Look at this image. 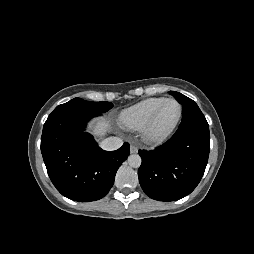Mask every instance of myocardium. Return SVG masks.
I'll return each instance as SVG.
<instances>
[{
  "instance_id": "myocardium-1",
  "label": "myocardium",
  "mask_w": 254,
  "mask_h": 254,
  "mask_svg": "<svg viewBox=\"0 0 254 254\" xmlns=\"http://www.w3.org/2000/svg\"><path fill=\"white\" fill-rule=\"evenodd\" d=\"M167 102H175L178 107H179V112L177 115V118L175 120V122L173 123V125L166 130L165 132L161 133V134H154L153 133V126L154 123L158 117V114L162 108V106L167 103ZM182 105L181 103L175 99V98H165L153 111V113L150 115V117L148 118V120L145 122V124L143 125V127L141 128V134L142 137L144 139L145 142H147L148 144H161L163 143L165 140H167L176 130L181 117H182Z\"/></svg>"
}]
</instances>
